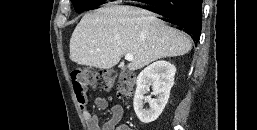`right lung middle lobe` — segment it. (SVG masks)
Masks as SVG:
<instances>
[{
  "label": "right lung middle lobe",
  "instance_id": "right-lung-middle-lobe-1",
  "mask_svg": "<svg viewBox=\"0 0 257 130\" xmlns=\"http://www.w3.org/2000/svg\"><path fill=\"white\" fill-rule=\"evenodd\" d=\"M75 10L80 13L104 3V0H72Z\"/></svg>",
  "mask_w": 257,
  "mask_h": 130
}]
</instances>
